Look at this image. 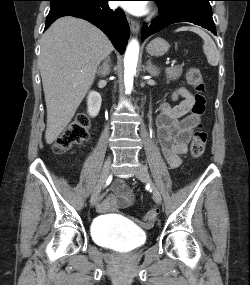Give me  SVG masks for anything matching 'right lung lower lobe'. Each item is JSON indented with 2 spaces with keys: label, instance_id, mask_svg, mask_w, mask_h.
Listing matches in <instances>:
<instances>
[{
  "label": "right lung lower lobe",
  "instance_id": "98d812e1",
  "mask_svg": "<svg viewBox=\"0 0 250 285\" xmlns=\"http://www.w3.org/2000/svg\"><path fill=\"white\" fill-rule=\"evenodd\" d=\"M109 0H93L87 4H76L50 11L45 30L59 17L74 16L89 21L101 29L111 40L114 47L124 53L129 38V25L120 9L112 10Z\"/></svg>",
  "mask_w": 250,
  "mask_h": 285
}]
</instances>
